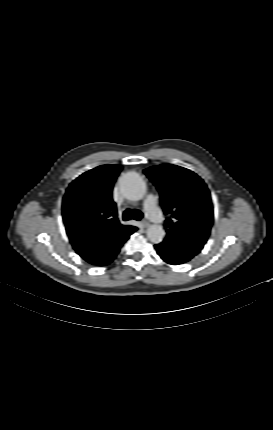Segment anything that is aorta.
Wrapping results in <instances>:
<instances>
[{"label":"aorta","mask_w":273,"mask_h":430,"mask_svg":"<svg viewBox=\"0 0 273 430\" xmlns=\"http://www.w3.org/2000/svg\"><path fill=\"white\" fill-rule=\"evenodd\" d=\"M119 186L122 194L133 201L142 199L146 192L144 180L135 172L123 174L119 180ZM164 236L165 231L161 225L153 224L147 229V237L154 244L161 243Z\"/></svg>","instance_id":"1"}]
</instances>
